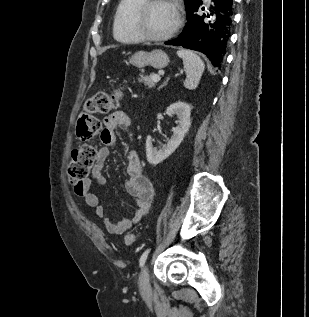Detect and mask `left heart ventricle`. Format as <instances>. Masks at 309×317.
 Wrapping results in <instances>:
<instances>
[{
	"mask_svg": "<svg viewBox=\"0 0 309 317\" xmlns=\"http://www.w3.org/2000/svg\"><path fill=\"white\" fill-rule=\"evenodd\" d=\"M176 22V12L169 3H158L146 14L144 30L151 35H163L172 29Z\"/></svg>",
	"mask_w": 309,
	"mask_h": 317,
	"instance_id": "obj_1",
	"label": "left heart ventricle"
}]
</instances>
